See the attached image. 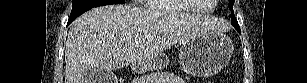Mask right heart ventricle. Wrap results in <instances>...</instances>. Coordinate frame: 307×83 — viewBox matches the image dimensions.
Returning a JSON list of instances; mask_svg holds the SVG:
<instances>
[{"label":"right heart ventricle","mask_w":307,"mask_h":83,"mask_svg":"<svg viewBox=\"0 0 307 83\" xmlns=\"http://www.w3.org/2000/svg\"><path fill=\"white\" fill-rule=\"evenodd\" d=\"M147 7L157 13L193 12L178 0H150Z\"/></svg>","instance_id":"obj_1"}]
</instances>
